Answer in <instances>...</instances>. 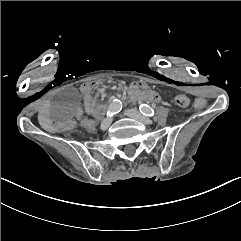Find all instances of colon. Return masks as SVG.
<instances>
[{"mask_svg":"<svg viewBox=\"0 0 241 241\" xmlns=\"http://www.w3.org/2000/svg\"><path fill=\"white\" fill-rule=\"evenodd\" d=\"M177 101H178L179 104L184 105V104L187 103L188 98H187L186 95L181 94V95L178 96ZM189 103H190V100L188 101L187 105H185L183 107H187L189 105ZM191 108L194 111H200V110L206 111L209 108V103H208V101L204 100L203 98L198 97V98H196L195 100L192 101ZM85 115H86V111L83 108L78 109L77 112H76V116L79 119L84 118Z\"/></svg>","mask_w":241,"mask_h":241,"instance_id":"colon-1","label":"colon"}]
</instances>
